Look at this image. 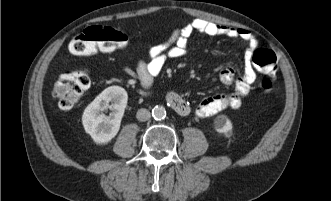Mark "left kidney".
<instances>
[{
  "label": "left kidney",
  "instance_id": "left-kidney-1",
  "mask_svg": "<svg viewBox=\"0 0 331 201\" xmlns=\"http://www.w3.org/2000/svg\"><path fill=\"white\" fill-rule=\"evenodd\" d=\"M214 127L217 132L223 133L229 137L228 133L232 131V123L225 115H220L215 119Z\"/></svg>",
  "mask_w": 331,
  "mask_h": 201
}]
</instances>
